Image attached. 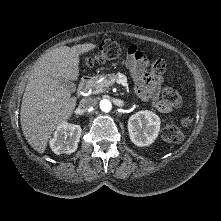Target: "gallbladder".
Listing matches in <instances>:
<instances>
[{
	"mask_svg": "<svg viewBox=\"0 0 221 221\" xmlns=\"http://www.w3.org/2000/svg\"><path fill=\"white\" fill-rule=\"evenodd\" d=\"M60 83L71 92H74L76 89L74 82H72L71 80H66V79L61 78Z\"/></svg>",
	"mask_w": 221,
	"mask_h": 221,
	"instance_id": "gallbladder-1",
	"label": "gallbladder"
}]
</instances>
